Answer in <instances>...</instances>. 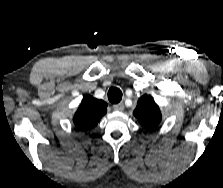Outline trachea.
<instances>
[{
  "label": "trachea",
  "mask_w": 223,
  "mask_h": 188,
  "mask_svg": "<svg viewBox=\"0 0 223 188\" xmlns=\"http://www.w3.org/2000/svg\"><path fill=\"white\" fill-rule=\"evenodd\" d=\"M122 99V92L117 87H111L108 91V100L113 103H119Z\"/></svg>",
  "instance_id": "3493384b"
}]
</instances>
